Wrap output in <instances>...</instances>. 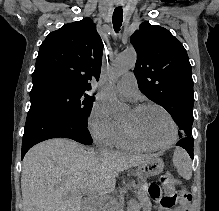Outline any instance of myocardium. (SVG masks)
Instances as JSON below:
<instances>
[{"label": "myocardium", "mask_w": 219, "mask_h": 211, "mask_svg": "<svg viewBox=\"0 0 219 211\" xmlns=\"http://www.w3.org/2000/svg\"><path fill=\"white\" fill-rule=\"evenodd\" d=\"M145 107H155L159 110H161L169 119L171 126H172V137L170 141L164 145H152L147 142H145L127 123H123L124 129L128 135V137L138 146L149 149V150H165L170 148L177 140L178 136V129L177 124L172 116V114L162 105L154 102H142L134 105L132 109L139 110L143 109Z\"/></svg>", "instance_id": "1"}]
</instances>
